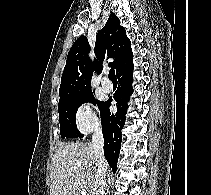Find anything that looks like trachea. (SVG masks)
<instances>
[{"label": "trachea", "instance_id": "obj_1", "mask_svg": "<svg viewBox=\"0 0 211 195\" xmlns=\"http://www.w3.org/2000/svg\"><path fill=\"white\" fill-rule=\"evenodd\" d=\"M108 76H109L110 80H117L114 69H110Z\"/></svg>", "mask_w": 211, "mask_h": 195}]
</instances>
